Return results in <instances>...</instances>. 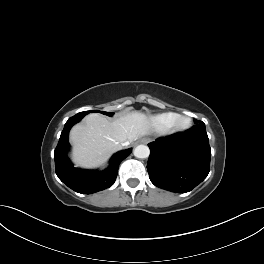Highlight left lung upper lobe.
<instances>
[{
	"instance_id": "left-lung-upper-lobe-1",
	"label": "left lung upper lobe",
	"mask_w": 264,
	"mask_h": 264,
	"mask_svg": "<svg viewBox=\"0 0 264 264\" xmlns=\"http://www.w3.org/2000/svg\"><path fill=\"white\" fill-rule=\"evenodd\" d=\"M195 124H203V122L198 121V120H194Z\"/></svg>"
}]
</instances>
